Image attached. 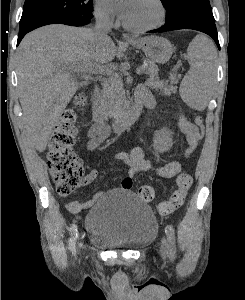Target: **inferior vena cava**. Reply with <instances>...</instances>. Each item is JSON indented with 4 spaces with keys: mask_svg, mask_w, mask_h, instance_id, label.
<instances>
[{
    "mask_svg": "<svg viewBox=\"0 0 245 300\" xmlns=\"http://www.w3.org/2000/svg\"><path fill=\"white\" fill-rule=\"evenodd\" d=\"M111 28L112 22L109 15L100 13L96 16L94 34L99 41L109 38L107 34L111 31Z\"/></svg>",
    "mask_w": 245,
    "mask_h": 300,
    "instance_id": "obj_1",
    "label": "inferior vena cava"
}]
</instances>
